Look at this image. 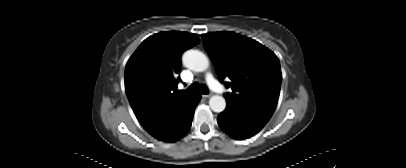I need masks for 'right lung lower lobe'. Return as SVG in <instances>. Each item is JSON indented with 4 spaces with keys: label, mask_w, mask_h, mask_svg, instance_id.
<instances>
[{
    "label": "right lung lower lobe",
    "mask_w": 406,
    "mask_h": 168,
    "mask_svg": "<svg viewBox=\"0 0 406 168\" xmlns=\"http://www.w3.org/2000/svg\"><path fill=\"white\" fill-rule=\"evenodd\" d=\"M200 99V94H196L188 106L185 107L181 114L172 121V124L157 139L175 142L185 136L191 128L194 111Z\"/></svg>",
    "instance_id": "1"
}]
</instances>
